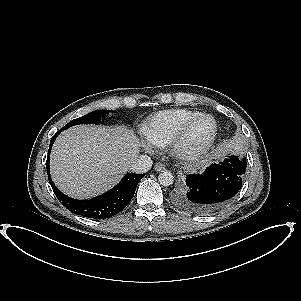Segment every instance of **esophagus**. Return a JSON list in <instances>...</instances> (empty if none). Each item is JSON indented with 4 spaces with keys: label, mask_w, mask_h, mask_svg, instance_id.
Returning a JSON list of instances; mask_svg holds the SVG:
<instances>
[{
    "label": "esophagus",
    "mask_w": 301,
    "mask_h": 301,
    "mask_svg": "<svg viewBox=\"0 0 301 301\" xmlns=\"http://www.w3.org/2000/svg\"><path fill=\"white\" fill-rule=\"evenodd\" d=\"M154 169L155 171H162L165 169V165L161 162H157L155 165H154Z\"/></svg>",
    "instance_id": "34e87169"
}]
</instances>
